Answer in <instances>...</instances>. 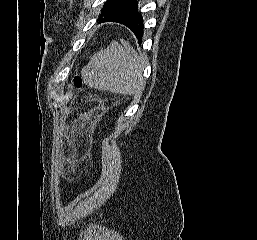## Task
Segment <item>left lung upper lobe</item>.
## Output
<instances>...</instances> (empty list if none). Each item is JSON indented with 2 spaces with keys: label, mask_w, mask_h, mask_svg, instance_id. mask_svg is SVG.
<instances>
[{
  "label": "left lung upper lobe",
  "mask_w": 257,
  "mask_h": 240,
  "mask_svg": "<svg viewBox=\"0 0 257 240\" xmlns=\"http://www.w3.org/2000/svg\"><path fill=\"white\" fill-rule=\"evenodd\" d=\"M121 0H107L103 5L101 14L98 19H100L111 7L115 6Z\"/></svg>",
  "instance_id": "obj_1"
}]
</instances>
